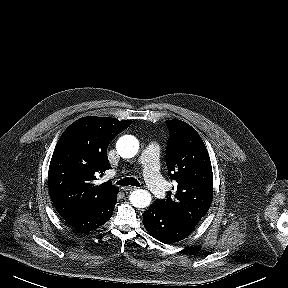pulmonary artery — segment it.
<instances>
[{"label": "pulmonary artery", "mask_w": 288, "mask_h": 288, "mask_svg": "<svg viewBox=\"0 0 288 288\" xmlns=\"http://www.w3.org/2000/svg\"><path fill=\"white\" fill-rule=\"evenodd\" d=\"M158 159V146L149 144L142 151L139 161L143 166L144 179L147 187L155 196L161 197L167 191V184L159 173Z\"/></svg>", "instance_id": "pulmonary-artery-1"}]
</instances>
